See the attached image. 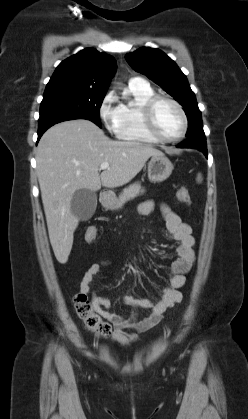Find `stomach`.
Here are the masks:
<instances>
[{
    "label": "stomach",
    "instance_id": "1",
    "mask_svg": "<svg viewBox=\"0 0 248 419\" xmlns=\"http://www.w3.org/2000/svg\"><path fill=\"white\" fill-rule=\"evenodd\" d=\"M173 164L165 155H154L148 162V178L151 182H162L172 173ZM117 199L112 197L110 201L104 202L107 208H114Z\"/></svg>",
    "mask_w": 248,
    "mask_h": 419
}]
</instances>
